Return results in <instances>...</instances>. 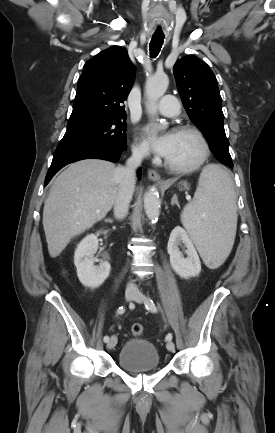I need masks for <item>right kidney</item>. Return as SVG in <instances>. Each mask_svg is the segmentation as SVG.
Listing matches in <instances>:
<instances>
[{
    "label": "right kidney",
    "instance_id": "ca27d5eb",
    "mask_svg": "<svg viewBox=\"0 0 275 433\" xmlns=\"http://www.w3.org/2000/svg\"><path fill=\"white\" fill-rule=\"evenodd\" d=\"M98 249L96 234L87 235L77 246L74 254V264L80 282L91 288L99 287L109 276L111 266L104 261L100 266H94V254Z\"/></svg>",
    "mask_w": 275,
    "mask_h": 433
}]
</instances>
